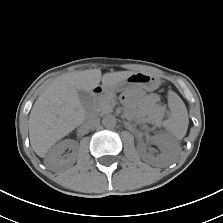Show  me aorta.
Listing matches in <instances>:
<instances>
[{"mask_svg":"<svg viewBox=\"0 0 223 223\" xmlns=\"http://www.w3.org/2000/svg\"><path fill=\"white\" fill-rule=\"evenodd\" d=\"M103 126L106 128H114L116 126V117L114 115H106L102 119Z\"/></svg>","mask_w":223,"mask_h":223,"instance_id":"1","label":"aorta"}]
</instances>
